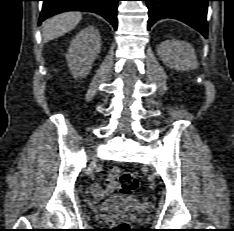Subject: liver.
<instances>
[{"label": "liver", "instance_id": "liver-1", "mask_svg": "<svg viewBox=\"0 0 234 231\" xmlns=\"http://www.w3.org/2000/svg\"><path fill=\"white\" fill-rule=\"evenodd\" d=\"M81 19L80 12H66L48 19L43 24V41L48 42L68 33L76 27Z\"/></svg>", "mask_w": 234, "mask_h": 231}]
</instances>
